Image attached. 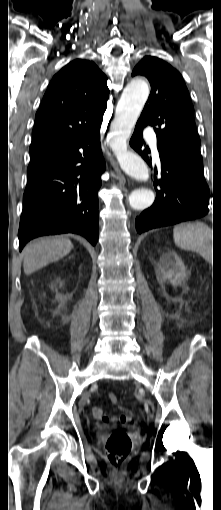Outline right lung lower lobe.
Wrapping results in <instances>:
<instances>
[{"instance_id": "right-lung-lower-lobe-1", "label": "right lung lower lobe", "mask_w": 221, "mask_h": 510, "mask_svg": "<svg viewBox=\"0 0 221 510\" xmlns=\"http://www.w3.org/2000/svg\"><path fill=\"white\" fill-rule=\"evenodd\" d=\"M101 123L90 132L31 157L18 232L19 250L43 235L76 233L98 240V190L105 171ZM81 163L79 167L75 165Z\"/></svg>"}]
</instances>
